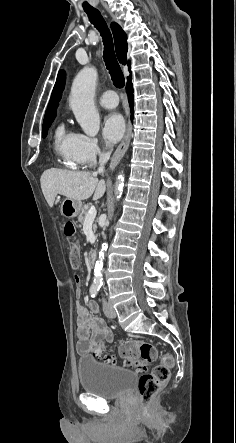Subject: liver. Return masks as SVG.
<instances>
[{"label": "liver", "mask_w": 236, "mask_h": 443, "mask_svg": "<svg viewBox=\"0 0 236 443\" xmlns=\"http://www.w3.org/2000/svg\"><path fill=\"white\" fill-rule=\"evenodd\" d=\"M43 195L50 207H53L58 194L75 201L90 198L100 199L105 191L104 180H98L95 173L67 171L51 168L43 172L40 179Z\"/></svg>", "instance_id": "6515ba94"}]
</instances>
